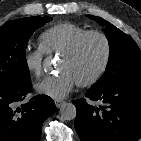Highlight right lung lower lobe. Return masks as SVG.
<instances>
[{
  "instance_id": "1",
  "label": "right lung lower lobe",
  "mask_w": 141,
  "mask_h": 141,
  "mask_svg": "<svg viewBox=\"0 0 141 141\" xmlns=\"http://www.w3.org/2000/svg\"><path fill=\"white\" fill-rule=\"evenodd\" d=\"M31 82L0 87V141H39L43 122L55 111L53 100L37 95L21 104L31 92Z\"/></svg>"
}]
</instances>
